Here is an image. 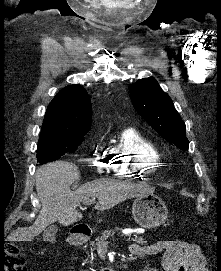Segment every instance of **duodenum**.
I'll use <instances>...</instances> for the list:
<instances>
[{"mask_svg":"<svg viewBox=\"0 0 221 271\" xmlns=\"http://www.w3.org/2000/svg\"><path fill=\"white\" fill-rule=\"evenodd\" d=\"M89 235L90 232L88 230L84 229L73 230L70 236V243L76 246L83 245L88 241ZM102 271H116V270L114 268L108 267L103 269Z\"/></svg>","mask_w":221,"mask_h":271,"instance_id":"1","label":"duodenum"}]
</instances>
